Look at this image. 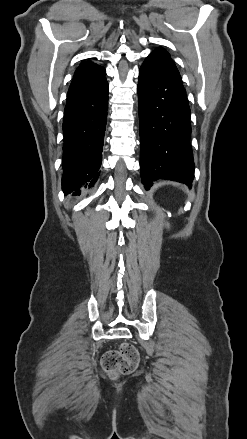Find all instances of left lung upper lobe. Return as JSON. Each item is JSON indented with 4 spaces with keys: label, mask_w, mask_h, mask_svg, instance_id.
I'll use <instances>...</instances> for the list:
<instances>
[{
    "label": "left lung upper lobe",
    "mask_w": 247,
    "mask_h": 439,
    "mask_svg": "<svg viewBox=\"0 0 247 439\" xmlns=\"http://www.w3.org/2000/svg\"><path fill=\"white\" fill-rule=\"evenodd\" d=\"M146 59L155 61L169 73L181 79L179 71L172 61L170 54L162 47L153 51Z\"/></svg>",
    "instance_id": "5c2ea615"
}]
</instances>
